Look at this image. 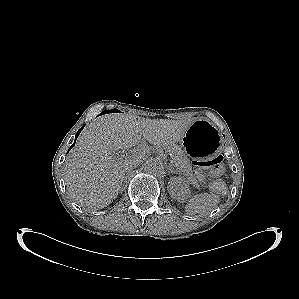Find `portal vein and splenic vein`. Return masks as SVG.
Instances as JSON below:
<instances>
[{
	"instance_id": "1",
	"label": "portal vein and splenic vein",
	"mask_w": 299,
	"mask_h": 299,
	"mask_svg": "<svg viewBox=\"0 0 299 299\" xmlns=\"http://www.w3.org/2000/svg\"><path fill=\"white\" fill-rule=\"evenodd\" d=\"M139 150H141V149H139ZM118 156H120V157H124L125 154H124V153H121V154H118Z\"/></svg>"
}]
</instances>
